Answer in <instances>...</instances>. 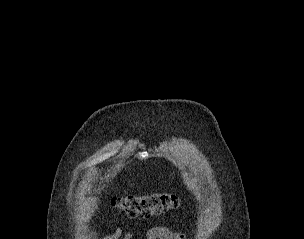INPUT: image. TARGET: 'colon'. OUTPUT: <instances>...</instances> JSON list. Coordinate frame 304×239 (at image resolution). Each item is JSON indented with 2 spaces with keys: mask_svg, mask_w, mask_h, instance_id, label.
<instances>
[{
  "mask_svg": "<svg viewBox=\"0 0 304 239\" xmlns=\"http://www.w3.org/2000/svg\"><path fill=\"white\" fill-rule=\"evenodd\" d=\"M111 204L131 218L138 216L151 217L179 208L181 200L177 195L172 193L152 192L116 197L112 199Z\"/></svg>",
  "mask_w": 304,
  "mask_h": 239,
  "instance_id": "obj_1",
  "label": "colon"
}]
</instances>
